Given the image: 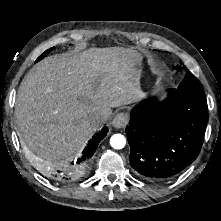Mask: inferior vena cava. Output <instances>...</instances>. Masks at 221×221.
Here are the masks:
<instances>
[{"label": "inferior vena cava", "mask_w": 221, "mask_h": 221, "mask_svg": "<svg viewBox=\"0 0 221 221\" xmlns=\"http://www.w3.org/2000/svg\"><path fill=\"white\" fill-rule=\"evenodd\" d=\"M88 120L92 127L98 129L105 122V114L102 111L93 112L92 114H90Z\"/></svg>", "instance_id": "1"}]
</instances>
